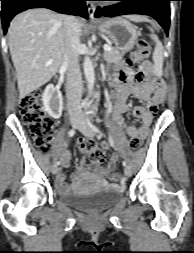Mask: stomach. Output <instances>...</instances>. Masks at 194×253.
<instances>
[{
    "label": "stomach",
    "instance_id": "obj_1",
    "mask_svg": "<svg viewBox=\"0 0 194 253\" xmlns=\"http://www.w3.org/2000/svg\"><path fill=\"white\" fill-rule=\"evenodd\" d=\"M98 29L122 52L130 51L137 41L138 32L136 28L121 17L107 19L99 23Z\"/></svg>",
    "mask_w": 194,
    "mask_h": 253
}]
</instances>
